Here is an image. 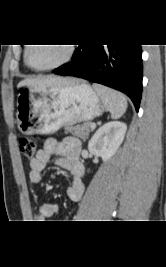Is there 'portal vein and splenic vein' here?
I'll list each match as a JSON object with an SVG mask.
<instances>
[{"instance_id":"18ae733b","label":"portal vein and splenic vein","mask_w":166,"mask_h":267,"mask_svg":"<svg viewBox=\"0 0 166 267\" xmlns=\"http://www.w3.org/2000/svg\"><path fill=\"white\" fill-rule=\"evenodd\" d=\"M90 127H91V129H95L96 128V124L93 123V124L90 125Z\"/></svg>"}]
</instances>
